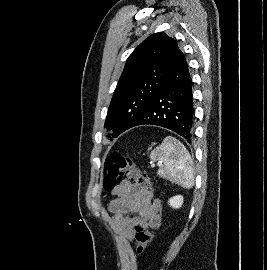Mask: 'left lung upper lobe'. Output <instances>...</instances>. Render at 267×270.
I'll return each mask as SVG.
<instances>
[{
    "label": "left lung upper lobe",
    "instance_id": "5c2ea615",
    "mask_svg": "<svg viewBox=\"0 0 267 270\" xmlns=\"http://www.w3.org/2000/svg\"><path fill=\"white\" fill-rule=\"evenodd\" d=\"M164 33L145 39L129 56L108 108L105 126L117 137L131 128L167 81L180 54Z\"/></svg>",
    "mask_w": 267,
    "mask_h": 270
}]
</instances>
